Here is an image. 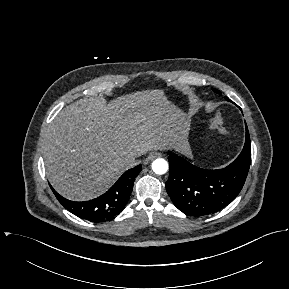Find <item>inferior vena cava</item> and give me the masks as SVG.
Returning <instances> with one entry per match:
<instances>
[{
    "instance_id": "obj_1",
    "label": "inferior vena cava",
    "mask_w": 289,
    "mask_h": 289,
    "mask_svg": "<svg viewBox=\"0 0 289 289\" xmlns=\"http://www.w3.org/2000/svg\"><path fill=\"white\" fill-rule=\"evenodd\" d=\"M137 157V155H129L125 158V161L129 167L136 166L139 163V161L136 160Z\"/></svg>"
}]
</instances>
